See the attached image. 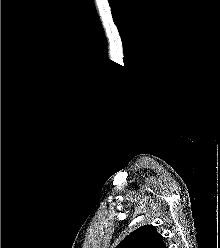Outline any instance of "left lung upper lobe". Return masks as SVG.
<instances>
[{
    "mask_svg": "<svg viewBox=\"0 0 220 248\" xmlns=\"http://www.w3.org/2000/svg\"><path fill=\"white\" fill-rule=\"evenodd\" d=\"M116 248H167L153 225L142 226L122 240Z\"/></svg>",
    "mask_w": 220,
    "mask_h": 248,
    "instance_id": "1",
    "label": "left lung upper lobe"
}]
</instances>
